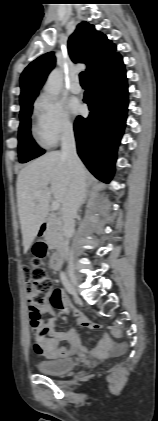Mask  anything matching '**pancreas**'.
<instances>
[{
  "label": "pancreas",
  "instance_id": "pancreas-1",
  "mask_svg": "<svg viewBox=\"0 0 158 421\" xmlns=\"http://www.w3.org/2000/svg\"><path fill=\"white\" fill-rule=\"evenodd\" d=\"M62 223L61 219L54 214L49 217L47 230L45 232V240L50 249H56L62 242Z\"/></svg>",
  "mask_w": 158,
  "mask_h": 421
}]
</instances>
